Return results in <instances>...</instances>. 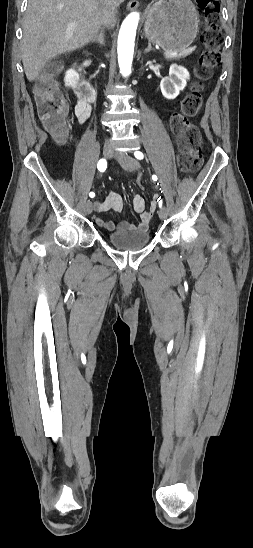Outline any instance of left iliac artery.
<instances>
[{
    "label": "left iliac artery",
    "mask_w": 253,
    "mask_h": 548,
    "mask_svg": "<svg viewBox=\"0 0 253 548\" xmlns=\"http://www.w3.org/2000/svg\"><path fill=\"white\" fill-rule=\"evenodd\" d=\"M134 155H135V157H136L137 159H140V160L144 158L143 153L140 152V151H136V152L134 153ZM152 179H153L154 181H156L158 178H157L156 175H153V176H152ZM159 200H160V198H159ZM161 206H162V200L159 201V207L161 208Z\"/></svg>",
    "instance_id": "44dca946"
}]
</instances>
